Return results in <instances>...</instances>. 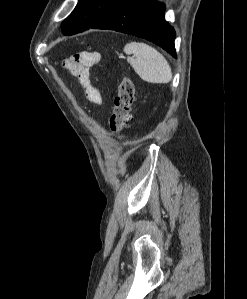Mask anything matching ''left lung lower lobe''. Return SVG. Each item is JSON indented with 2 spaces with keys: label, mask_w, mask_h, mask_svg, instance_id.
I'll use <instances>...</instances> for the list:
<instances>
[{
  "label": "left lung lower lobe",
  "mask_w": 247,
  "mask_h": 299,
  "mask_svg": "<svg viewBox=\"0 0 247 299\" xmlns=\"http://www.w3.org/2000/svg\"><path fill=\"white\" fill-rule=\"evenodd\" d=\"M165 5L154 0H125L91 28L115 30L149 40L176 56L175 31L164 17Z\"/></svg>",
  "instance_id": "1"
}]
</instances>
